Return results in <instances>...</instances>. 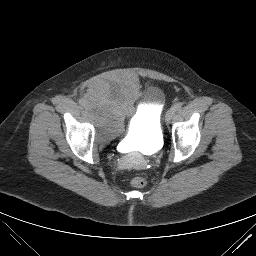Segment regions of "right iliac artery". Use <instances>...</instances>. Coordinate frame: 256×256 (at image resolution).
<instances>
[{
  "instance_id": "1",
  "label": "right iliac artery",
  "mask_w": 256,
  "mask_h": 256,
  "mask_svg": "<svg viewBox=\"0 0 256 256\" xmlns=\"http://www.w3.org/2000/svg\"><path fill=\"white\" fill-rule=\"evenodd\" d=\"M79 103H80V105H82V106H86V100H85V99H80V100H79Z\"/></svg>"
}]
</instances>
